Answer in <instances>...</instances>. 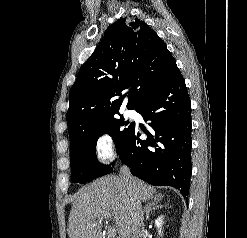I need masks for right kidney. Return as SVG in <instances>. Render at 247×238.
Wrapping results in <instances>:
<instances>
[{"instance_id": "ca27d5eb", "label": "right kidney", "mask_w": 247, "mask_h": 238, "mask_svg": "<svg viewBox=\"0 0 247 238\" xmlns=\"http://www.w3.org/2000/svg\"><path fill=\"white\" fill-rule=\"evenodd\" d=\"M163 216H159L156 220H155V226L158 228V234L160 236L163 235V232H162V225H163Z\"/></svg>"}]
</instances>
